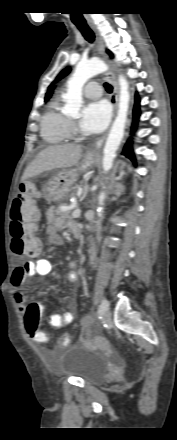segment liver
<instances>
[{
  "instance_id": "1",
  "label": "liver",
  "mask_w": 177,
  "mask_h": 440,
  "mask_svg": "<svg viewBox=\"0 0 177 440\" xmlns=\"http://www.w3.org/2000/svg\"><path fill=\"white\" fill-rule=\"evenodd\" d=\"M81 156V145L64 144L49 146L42 150L34 161L28 165L22 176V181L45 171L72 167L78 163Z\"/></svg>"
}]
</instances>
